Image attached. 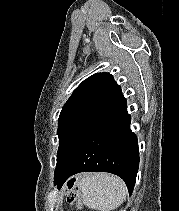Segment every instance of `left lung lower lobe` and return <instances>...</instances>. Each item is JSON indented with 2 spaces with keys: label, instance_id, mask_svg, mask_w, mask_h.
Here are the masks:
<instances>
[{
  "label": "left lung lower lobe",
  "instance_id": "obj_1",
  "mask_svg": "<svg viewBox=\"0 0 179 211\" xmlns=\"http://www.w3.org/2000/svg\"><path fill=\"white\" fill-rule=\"evenodd\" d=\"M126 99L120 95L101 113L80 149L60 174H54L58 189L79 172H109L121 177L131 195L139 167L137 137L130 130Z\"/></svg>",
  "mask_w": 179,
  "mask_h": 211
}]
</instances>
